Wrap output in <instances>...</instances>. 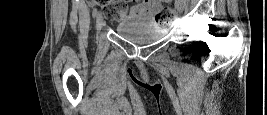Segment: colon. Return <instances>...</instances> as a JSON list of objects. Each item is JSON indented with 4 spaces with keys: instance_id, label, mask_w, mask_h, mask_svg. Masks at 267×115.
Wrapping results in <instances>:
<instances>
[{
    "instance_id": "obj_1",
    "label": "colon",
    "mask_w": 267,
    "mask_h": 115,
    "mask_svg": "<svg viewBox=\"0 0 267 115\" xmlns=\"http://www.w3.org/2000/svg\"><path fill=\"white\" fill-rule=\"evenodd\" d=\"M128 10L127 1H116L103 7V15L110 22H118L127 16ZM176 17L177 11L170 5L160 6L155 13V18L162 22L173 21Z\"/></svg>"
}]
</instances>
